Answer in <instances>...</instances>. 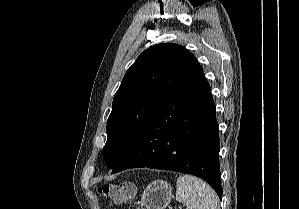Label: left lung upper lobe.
Here are the masks:
<instances>
[{
	"instance_id": "obj_1",
	"label": "left lung upper lobe",
	"mask_w": 299,
	"mask_h": 209,
	"mask_svg": "<svg viewBox=\"0 0 299 209\" xmlns=\"http://www.w3.org/2000/svg\"><path fill=\"white\" fill-rule=\"evenodd\" d=\"M202 71L195 56L178 44H158L141 53L114 96L105 164L115 168L158 110Z\"/></svg>"
}]
</instances>
